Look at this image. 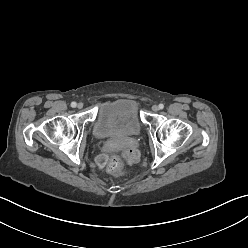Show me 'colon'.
I'll return each instance as SVG.
<instances>
[{
  "label": "colon",
  "mask_w": 248,
  "mask_h": 248,
  "mask_svg": "<svg viewBox=\"0 0 248 248\" xmlns=\"http://www.w3.org/2000/svg\"><path fill=\"white\" fill-rule=\"evenodd\" d=\"M95 163L99 167L107 165L108 172L113 176H120L123 174L124 162L119 156H113L109 159L104 154H99L95 158Z\"/></svg>",
  "instance_id": "obj_1"
}]
</instances>
